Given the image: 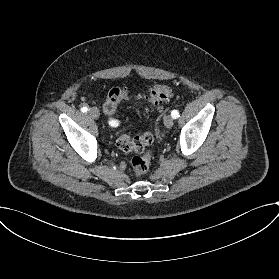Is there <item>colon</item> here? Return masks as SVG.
<instances>
[{
    "label": "colon",
    "instance_id": "colon-1",
    "mask_svg": "<svg viewBox=\"0 0 279 279\" xmlns=\"http://www.w3.org/2000/svg\"><path fill=\"white\" fill-rule=\"evenodd\" d=\"M172 94L173 88L167 84H156L146 93L136 96H131L125 88L113 87L107 93L103 112L105 115L112 117L120 102H129L135 111L147 113L157 109ZM153 139L150 132H146L139 137H130L127 134H121L118 137L117 143L122 152L135 151L140 154L132 159V169L137 175L145 174L150 168L152 156L149 147L153 143Z\"/></svg>",
    "mask_w": 279,
    "mask_h": 279
}]
</instances>
